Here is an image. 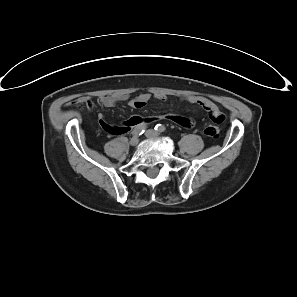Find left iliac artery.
I'll use <instances>...</instances> for the list:
<instances>
[{"instance_id": "left-iliac-artery-1", "label": "left iliac artery", "mask_w": 297, "mask_h": 297, "mask_svg": "<svg viewBox=\"0 0 297 297\" xmlns=\"http://www.w3.org/2000/svg\"><path fill=\"white\" fill-rule=\"evenodd\" d=\"M155 130L158 131V132H163L165 130V127L161 124H157L155 126Z\"/></svg>"}]
</instances>
